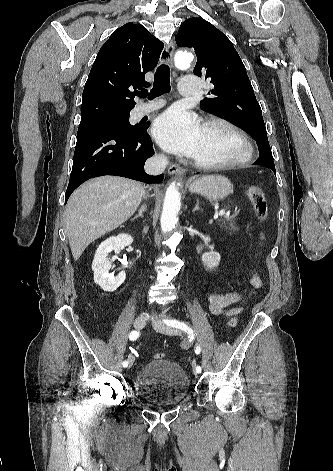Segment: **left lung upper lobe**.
Wrapping results in <instances>:
<instances>
[{
  "label": "left lung upper lobe",
  "mask_w": 333,
  "mask_h": 471,
  "mask_svg": "<svg viewBox=\"0 0 333 471\" xmlns=\"http://www.w3.org/2000/svg\"><path fill=\"white\" fill-rule=\"evenodd\" d=\"M175 40L179 47L195 50L193 72L214 84L208 93L211 97L201 101V108L249 132L257 142L259 158L273 159L260 105L227 36L203 18H189L181 24Z\"/></svg>",
  "instance_id": "1"
}]
</instances>
